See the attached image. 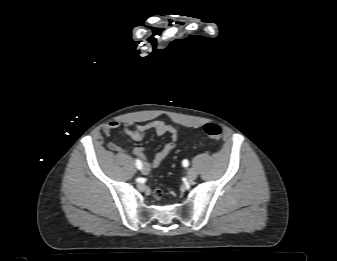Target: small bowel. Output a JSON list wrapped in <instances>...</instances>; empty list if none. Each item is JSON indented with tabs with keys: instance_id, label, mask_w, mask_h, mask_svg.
<instances>
[{
	"instance_id": "1",
	"label": "small bowel",
	"mask_w": 337,
	"mask_h": 261,
	"mask_svg": "<svg viewBox=\"0 0 337 261\" xmlns=\"http://www.w3.org/2000/svg\"><path fill=\"white\" fill-rule=\"evenodd\" d=\"M119 127V122L110 121L104 125L103 132L105 135L110 136L112 132ZM123 130L124 133L134 141L143 140L146 132L149 130H154L158 135H169L170 141L164 145V147L149 162H145V165H147L149 169L151 166L158 167L167 158V156L175 150L176 143L182 134L175 127L161 120H154L144 125H138L134 128H132L129 124H124ZM109 148L116 152H123L125 150L123 146L114 141L109 143ZM133 153L144 161L148 160L146 151L141 147L134 148Z\"/></svg>"
}]
</instances>
